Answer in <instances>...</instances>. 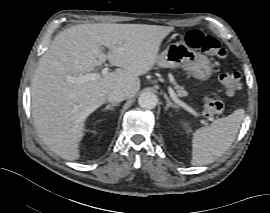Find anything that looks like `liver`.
<instances>
[{"mask_svg":"<svg viewBox=\"0 0 270 213\" xmlns=\"http://www.w3.org/2000/svg\"><path fill=\"white\" fill-rule=\"evenodd\" d=\"M173 29L88 23L59 33L41 57L31 86L32 116L43 142L63 159H79L87 117L113 90L124 91L127 98L135 96L140 89L139 76L154 67L161 43ZM101 46L110 51L105 54ZM107 59L119 68L83 83L66 80L90 74Z\"/></svg>","mask_w":270,"mask_h":213,"instance_id":"1","label":"liver"}]
</instances>
